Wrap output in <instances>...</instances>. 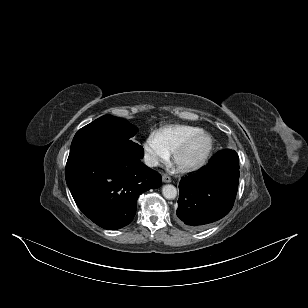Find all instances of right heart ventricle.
I'll use <instances>...</instances> for the list:
<instances>
[{
  "label": "right heart ventricle",
  "instance_id": "obj_1",
  "mask_svg": "<svg viewBox=\"0 0 308 308\" xmlns=\"http://www.w3.org/2000/svg\"><path fill=\"white\" fill-rule=\"evenodd\" d=\"M199 130H201V128L191 125H169L157 130L154 136L158 142L171 154L189 136Z\"/></svg>",
  "mask_w": 308,
  "mask_h": 308
}]
</instances>
